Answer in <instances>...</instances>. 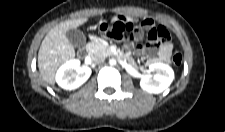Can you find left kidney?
Listing matches in <instances>:
<instances>
[{"instance_id":"left-kidney-1","label":"left kidney","mask_w":225,"mask_h":132,"mask_svg":"<svg viewBox=\"0 0 225 132\" xmlns=\"http://www.w3.org/2000/svg\"><path fill=\"white\" fill-rule=\"evenodd\" d=\"M149 71L153 75L143 76L140 81L141 88L149 93L158 94L163 92L174 79L173 69L164 63L149 65Z\"/></svg>"}]
</instances>
